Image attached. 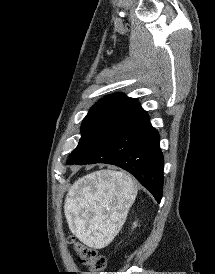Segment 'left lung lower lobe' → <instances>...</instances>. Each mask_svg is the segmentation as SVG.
<instances>
[{
	"mask_svg": "<svg viewBox=\"0 0 215 274\" xmlns=\"http://www.w3.org/2000/svg\"><path fill=\"white\" fill-rule=\"evenodd\" d=\"M108 163L134 175L159 203L163 188L164 158L159 134L141 111L111 132L87 156L68 165Z\"/></svg>",
	"mask_w": 215,
	"mask_h": 274,
	"instance_id": "0a47b994",
	"label": "left lung lower lobe"
}]
</instances>
